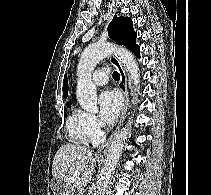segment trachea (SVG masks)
Masks as SVG:
<instances>
[{
  "instance_id": "3493384b",
  "label": "trachea",
  "mask_w": 211,
  "mask_h": 195,
  "mask_svg": "<svg viewBox=\"0 0 211 195\" xmlns=\"http://www.w3.org/2000/svg\"><path fill=\"white\" fill-rule=\"evenodd\" d=\"M112 76L115 80H120V75L118 74V72L114 71Z\"/></svg>"
}]
</instances>
